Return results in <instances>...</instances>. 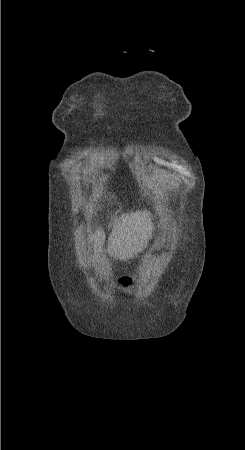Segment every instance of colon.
<instances>
[{
	"label": "colon",
	"instance_id": "1",
	"mask_svg": "<svg viewBox=\"0 0 245 450\" xmlns=\"http://www.w3.org/2000/svg\"><path fill=\"white\" fill-rule=\"evenodd\" d=\"M125 282H126V283H127V282L129 283V280H126Z\"/></svg>",
	"mask_w": 245,
	"mask_h": 450
}]
</instances>
